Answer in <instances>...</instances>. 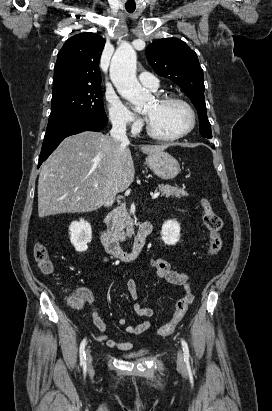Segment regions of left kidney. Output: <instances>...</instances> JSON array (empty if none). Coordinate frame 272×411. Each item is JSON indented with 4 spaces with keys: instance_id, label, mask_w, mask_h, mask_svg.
<instances>
[{
    "instance_id": "5707ae66",
    "label": "left kidney",
    "mask_w": 272,
    "mask_h": 411,
    "mask_svg": "<svg viewBox=\"0 0 272 411\" xmlns=\"http://www.w3.org/2000/svg\"><path fill=\"white\" fill-rule=\"evenodd\" d=\"M161 238L167 245H175L180 239V224L175 220H167L162 225Z\"/></svg>"
}]
</instances>
